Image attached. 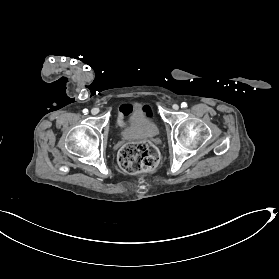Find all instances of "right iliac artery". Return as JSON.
Returning <instances> with one entry per match:
<instances>
[{
    "label": "right iliac artery",
    "mask_w": 279,
    "mask_h": 279,
    "mask_svg": "<svg viewBox=\"0 0 279 279\" xmlns=\"http://www.w3.org/2000/svg\"><path fill=\"white\" fill-rule=\"evenodd\" d=\"M83 113H84V114H87V113H88V110H87V109H84V110H83Z\"/></svg>",
    "instance_id": "obj_1"
}]
</instances>
